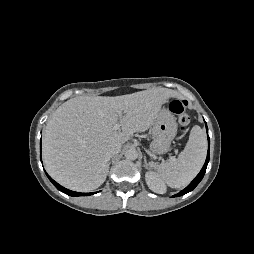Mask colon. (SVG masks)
I'll return each mask as SVG.
<instances>
[{"instance_id": "5ec220e1", "label": "colon", "mask_w": 254, "mask_h": 254, "mask_svg": "<svg viewBox=\"0 0 254 254\" xmlns=\"http://www.w3.org/2000/svg\"><path fill=\"white\" fill-rule=\"evenodd\" d=\"M187 101L179 99H171L169 108L178 116V121L182 130H186L190 123V116L187 113Z\"/></svg>"}]
</instances>
